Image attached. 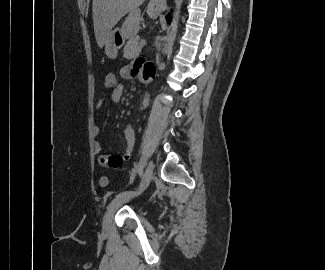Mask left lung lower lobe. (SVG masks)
<instances>
[{
    "label": "left lung lower lobe",
    "instance_id": "left-lung-lower-lobe-1",
    "mask_svg": "<svg viewBox=\"0 0 325 270\" xmlns=\"http://www.w3.org/2000/svg\"><path fill=\"white\" fill-rule=\"evenodd\" d=\"M166 20L168 21V23H170V21H171V16H170V14H168V15L166 16Z\"/></svg>",
    "mask_w": 325,
    "mask_h": 270
}]
</instances>
